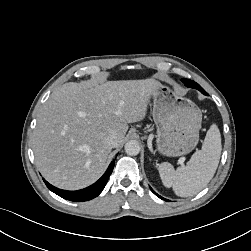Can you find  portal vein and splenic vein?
Listing matches in <instances>:
<instances>
[{"label": "portal vein and splenic vein", "instance_id": "1", "mask_svg": "<svg viewBox=\"0 0 251 251\" xmlns=\"http://www.w3.org/2000/svg\"><path fill=\"white\" fill-rule=\"evenodd\" d=\"M183 162H184V161H181V163H180V164H183Z\"/></svg>", "mask_w": 251, "mask_h": 251}]
</instances>
